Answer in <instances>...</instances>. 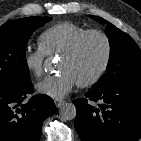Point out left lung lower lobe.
<instances>
[{
    "label": "left lung lower lobe",
    "mask_w": 141,
    "mask_h": 141,
    "mask_svg": "<svg viewBox=\"0 0 141 141\" xmlns=\"http://www.w3.org/2000/svg\"><path fill=\"white\" fill-rule=\"evenodd\" d=\"M74 100L81 141H138L141 136V80L90 89ZM88 100L99 101V108Z\"/></svg>",
    "instance_id": "obj_1"
}]
</instances>
